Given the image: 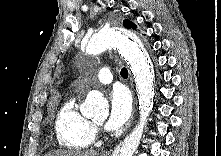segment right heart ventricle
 Instances as JSON below:
<instances>
[{
  "mask_svg": "<svg viewBox=\"0 0 221 156\" xmlns=\"http://www.w3.org/2000/svg\"><path fill=\"white\" fill-rule=\"evenodd\" d=\"M60 146L73 150L89 147L95 138L94 124L77 108L76 99H67L60 107L55 121Z\"/></svg>",
  "mask_w": 221,
  "mask_h": 156,
  "instance_id": "1",
  "label": "right heart ventricle"
}]
</instances>
